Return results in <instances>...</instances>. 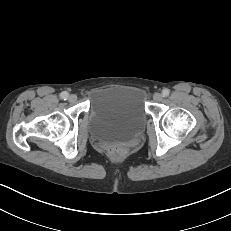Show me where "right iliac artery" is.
<instances>
[{
	"label": "right iliac artery",
	"mask_w": 231,
	"mask_h": 231,
	"mask_svg": "<svg viewBox=\"0 0 231 231\" xmlns=\"http://www.w3.org/2000/svg\"><path fill=\"white\" fill-rule=\"evenodd\" d=\"M68 96H69V94H68V92H66V91H64V92H62V93L60 94V97H61V99H63V100H67V99H68Z\"/></svg>",
	"instance_id": "obj_1"
}]
</instances>
